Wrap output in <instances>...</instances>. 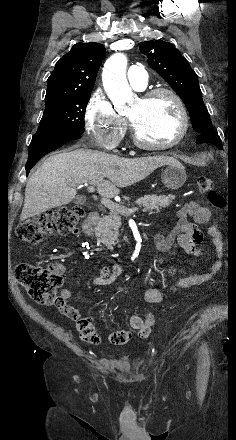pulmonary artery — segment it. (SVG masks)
<instances>
[{
  "label": "pulmonary artery",
  "instance_id": "obj_1",
  "mask_svg": "<svg viewBox=\"0 0 236 440\" xmlns=\"http://www.w3.org/2000/svg\"><path fill=\"white\" fill-rule=\"evenodd\" d=\"M128 81L135 89L145 88L148 82L147 70L140 65L131 66L128 70Z\"/></svg>",
  "mask_w": 236,
  "mask_h": 440
}]
</instances>
